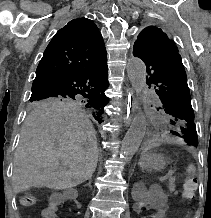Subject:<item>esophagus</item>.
Listing matches in <instances>:
<instances>
[{
  "label": "esophagus",
  "mask_w": 211,
  "mask_h": 218,
  "mask_svg": "<svg viewBox=\"0 0 211 218\" xmlns=\"http://www.w3.org/2000/svg\"><path fill=\"white\" fill-rule=\"evenodd\" d=\"M134 90L133 89H128L127 90V94H126V102L127 103H132V104H126L125 105V108L127 109H124L122 111V117H133V104L135 103V98H134ZM117 123H125L123 126L125 128H127L129 125L127 123H131V118H117Z\"/></svg>",
  "instance_id": "34e87169"
}]
</instances>
